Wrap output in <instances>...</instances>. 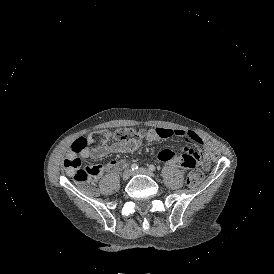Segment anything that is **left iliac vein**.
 Listing matches in <instances>:
<instances>
[{
	"instance_id": "obj_1",
	"label": "left iliac vein",
	"mask_w": 274,
	"mask_h": 274,
	"mask_svg": "<svg viewBox=\"0 0 274 274\" xmlns=\"http://www.w3.org/2000/svg\"><path fill=\"white\" fill-rule=\"evenodd\" d=\"M138 174H144L151 178H155V174L146 168H139L138 170L132 172V175H138Z\"/></svg>"
}]
</instances>
